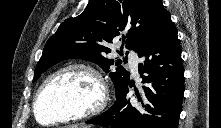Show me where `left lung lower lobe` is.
Segmentation results:
<instances>
[{
  "mask_svg": "<svg viewBox=\"0 0 221 128\" xmlns=\"http://www.w3.org/2000/svg\"><path fill=\"white\" fill-rule=\"evenodd\" d=\"M144 59L139 64L141 89H135L137 100L126 95L128 83L116 94L109 110L86 121L88 124L113 128H177L184 93V69L176 28L170 15L136 51Z\"/></svg>",
  "mask_w": 221,
  "mask_h": 128,
  "instance_id": "0a47b994",
  "label": "left lung lower lobe"
}]
</instances>
